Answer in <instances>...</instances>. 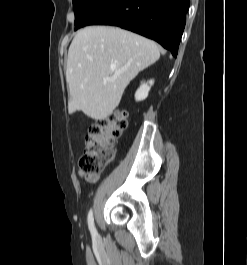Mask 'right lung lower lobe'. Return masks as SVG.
Masks as SVG:
<instances>
[{
	"label": "right lung lower lobe",
	"instance_id": "1",
	"mask_svg": "<svg viewBox=\"0 0 247 265\" xmlns=\"http://www.w3.org/2000/svg\"><path fill=\"white\" fill-rule=\"evenodd\" d=\"M190 0H98L76 24L113 25L160 43L177 56Z\"/></svg>",
	"mask_w": 247,
	"mask_h": 265
}]
</instances>
